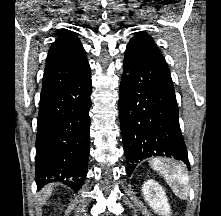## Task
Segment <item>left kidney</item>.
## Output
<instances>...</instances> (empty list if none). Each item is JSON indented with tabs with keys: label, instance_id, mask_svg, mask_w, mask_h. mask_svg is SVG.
<instances>
[{
	"label": "left kidney",
	"instance_id": "1",
	"mask_svg": "<svg viewBox=\"0 0 221 216\" xmlns=\"http://www.w3.org/2000/svg\"><path fill=\"white\" fill-rule=\"evenodd\" d=\"M142 192L144 200L156 213L169 216L170 205L168 204V198L158 182L152 179L146 181L143 185Z\"/></svg>",
	"mask_w": 221,
	"mask_h": 216
}]
</instances>
